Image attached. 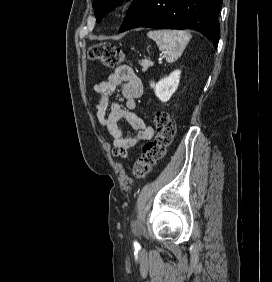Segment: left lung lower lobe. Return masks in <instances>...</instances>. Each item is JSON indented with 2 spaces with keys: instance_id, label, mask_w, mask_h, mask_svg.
<instances>
[{
  "instance_id": "1",
  "label": "left lung lower lobe",
  "mask_w": 272,
  "mask_h": 282,
  "mask_svg": "<svg viewBox=\"0 0 272 282\" xmlns=\"http://www.w3.org/2000/svg\"><path fill=\"white\" fill-rule=\"evenodd\" d=\"M221 5L222 0H134L119 32L137 27L194 28L217 48Z\"/></svg>"
}]
</instances>
